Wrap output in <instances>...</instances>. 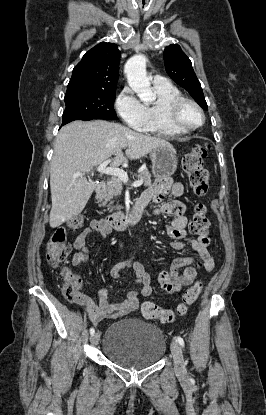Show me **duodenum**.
Returning a JSON list of instances; mask_svg holds the SVG:
<instances>
[{"instance_id":"obj_1","label":"duodenum","mask_w":266,"mask_h":415,"mask_svg":"<svg viewBox=\"0 0 266 415\" xmlns=\"http://www.w3.org/2000/svg\"><path fill=\"white\" fill-rule=\"evenodd\" d=\"M105 184L100 182L95 187L96 195H101ZM145 204L137 201L127 213H117L105 218V225L110 229L122 230L134 225L141 217Z\"/></svg>"}]
</instances>
